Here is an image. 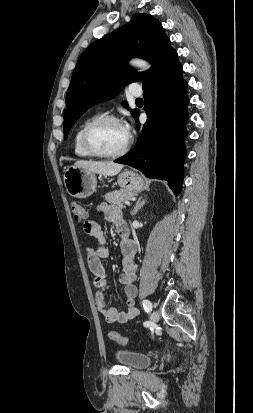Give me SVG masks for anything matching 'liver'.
I'll return each instance as SVG.
<instances>
[{
  "mask_svg": "<svg viewBox=\"0 0 253 413\" xmlns=\"http://www.w3.org/2000/svg\"><path fill=\"white\" fill-rule=\"evenodd\" d=\"M75 166L83 168L89 172L97 173L104 176H114L118 174L122 168L123 164H118L114 162H102V161H85L80 160L75 163Z\"/></svg>",
  "mask_w": 253,
  "mask_h": 413,
  "instance_id": "1",
  "label": "liver"
}]
</instances>
